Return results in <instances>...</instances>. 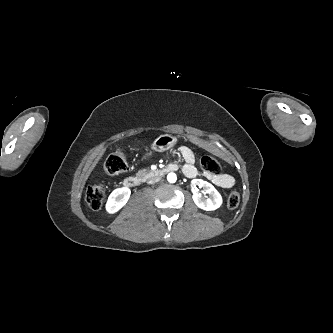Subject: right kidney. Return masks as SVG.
<instances>
[{
	"mask_svg": "<svg viewBox=\"0 0 333 333\" xmlns=\"http://www.w3.org/2000/svg\"><path fill=\"white\" fill-rule=\"evenodd\" d=\"M131 190L127 187L115 189L109 196L106 203V211L110 214L117 212L129 200Z\"/></svg>",
	"mask_w": 333,
	"mask_h": 333,
	"instance_id": "obj_1",
	"label": "right kidney"
}]
</instances>
